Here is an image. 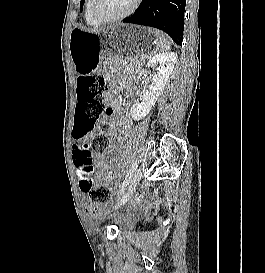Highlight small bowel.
<instances>
[{
  "label": "small bowel",
  "instance_id": "obj_1",
  "mask_svg": "<svg viewBox=\"0 0 265 273\" xmlns=\"http://www.w3.org/2000/svg\"><path fill=\"white\" fill-rule=\"evenodd\" d=\"M108 109L110 119L108 121L107 133L110 136H114L119 125L120 114L117 112L118 106L112 97L107 98ZM126 122H128L126 120ZM86 139H74L72 147V163L78 177L79 169L84 166L83 164H89L88 166L99 171L102 178L111 179L112 174L110 171L109 163L106 157L112 154L113 149L110 148L104 154L98 156L95 159H82V146L85 144ZM101 213V207H88L87 215L90 218H97Z\"/></svg>",
  "mask_w": 265,
  "mask_h": 273
}]
</instances>
